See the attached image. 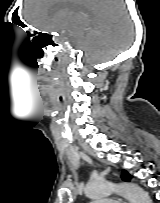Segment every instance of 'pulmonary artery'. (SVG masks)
Listing matches in <instances>:
<instances>
[{"label": "pulmonary artery", "mask_w": 160, "mask_h": 203, "mask_svg": "<svg viewBox=\"0 0 160 203\" xmlns=\"http://www.w3.org/2000/svg\"><path fill=\"white\" fill-rule=\"evenodd\" d=\"M92 203H116V201H113V200H111V201H94Z\"/></svg>", "instance_id": "e3ab8cb5"}]
</instances>
